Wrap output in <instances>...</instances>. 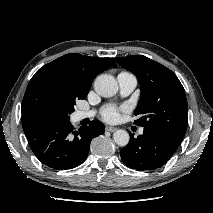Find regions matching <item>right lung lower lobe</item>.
<instances>
[{
    "label": "right lung lower lobe",
    "instance_id": "98d812e1",
    "mask_svg": "<svg viewBox=\"0 0 213 213\" xmlns=\"http://www.w3.org/2000/svg\"><path fill=\"white\" fill-rule=\"evenodd\" d=\"M22 126L36 157L50 168L72 169L85 161L90 142L104 133V124L93 120L78 131L69 120L22 113Z\"/></svg>",
    "mask_w": 213,
    "mask_h": 213
}]
</instances>
